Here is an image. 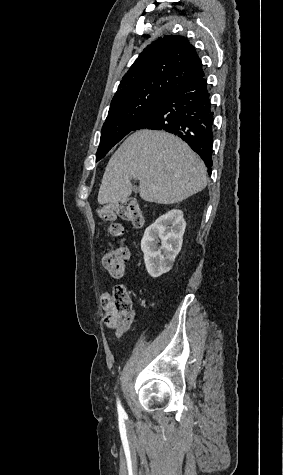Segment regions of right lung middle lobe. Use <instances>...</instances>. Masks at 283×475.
Returning <instances> with one entry per match:
<instances>
[{
  "mask_svg": "<svg viewBox=\"0 0 283 475\" xmlns=\"http://www.w3.org/2000/svg\"><path fill=\"white\" fill-rule=\"evenodd\" d=\"M170 92L156 90L111 103L102 127L96 161L102 159L115 144L131 132L142 118L161 103Z\"/></svg>",
  "mask_w": 283,
  "mask_h": 475,
  "instance_id": "dd1d6c3e",
  "label": "right lung middle lobe"
}]
</instances>
